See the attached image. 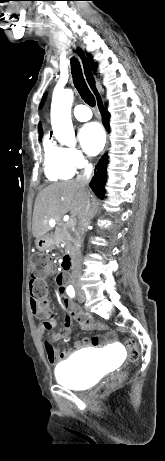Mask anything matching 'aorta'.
I'll use <instances>...</instances> for the list:
<instances>
[{
    "instance_id": "obj_1",
    "label": "aorta",
    "mask_w": 165,
    "mask_h": 461,
    "mask_svg": "<svg viewBox=\"0 0 165 461\" xmlns=\"http://www.w3.org/2000/svg\"><path fill=\"white\" fill-rule=\"evenodd\" d=\"M73 91L70 89L56 90L51 103V125L55 137L63 145H76L75 132L71 120Z\"/></svg>"
}]
</instances>
